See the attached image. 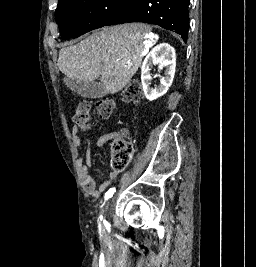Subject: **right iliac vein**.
<instances>
[{"instance_id":"right-iliac-vein-1","label":"right iliac vein","mask_w":256,"mask_h":267,"mask_svg":"<svg viewBox=\"0 0 256 267\" xmlns=\"http://www.w3.org/2000/svg\"><path fill=\"white\" fill-rule=\"evenodd\" d=\"M108 206H109V204H107V205H106V207H105V209H104V212H106V211H107V209H108Z\"/></svg>"}]
</instances>
